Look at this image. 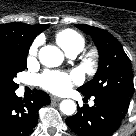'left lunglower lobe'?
<instances>
[{
  "instance_id": "left-lung-lower-lobe-1",
  "label": "left lung lower lobe",
  "mask_w": 136,
  "mask_h": 136,
  "mask_svg": "<svg viewBox=\"0 0 136 136\" xmlns=\"http://www.w3.org/2000/svg\"><path fill=\"white\" fill-rule=\"evenodd\" d=\"M93 107L84 105L66 118L67 125L80 136H110L117 130L128 110L130 98L96 96Z\"/></svg>"
}]
</instances>
